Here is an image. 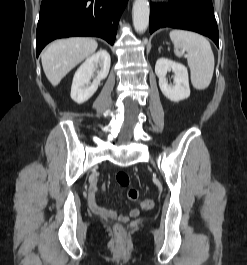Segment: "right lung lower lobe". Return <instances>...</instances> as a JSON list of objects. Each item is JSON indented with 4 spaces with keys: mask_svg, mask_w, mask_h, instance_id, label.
Returning a JSON list of instances; mask_svg holds the SVG:
<instances>
[{
    "mask_svg": "<svg viewBox=\"0 0 247 265\" xmlns=\"http://www.w3.org/2000/svg\"><path fill=\"white\" fill-rule=\"evenodd\" d=\"M128 0H42L37 26V56L50 41L70 36L101 37L114 44Z\"/></svg>",
    "mask_w": 247,
    "mask_h": 265,
    "instance_id": "right-lung-lower-lobe-1",
    "label": "right lung lower lobe"
}]
</instances>
